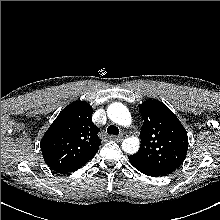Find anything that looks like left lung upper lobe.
I'll return each mask as SVG.
<instances>
[{"label": "left lung upper lobe", "mask_w": 220, "mask_h": 220, "mask_svg": "<svg viewBox=\"0 0 220 220\" xmlns=\"http://www.w3.org/2000/svg\"><path fill=\"white\" fill-rule=\"evenodd\" d=\"M139 109L144 123L140 132L141 146L133 156L165 174H171L186 157L187 132L162 102L147 100L139 105Z\"/></svg>", "instance_id": "5c2ea615"}]
</instances>
